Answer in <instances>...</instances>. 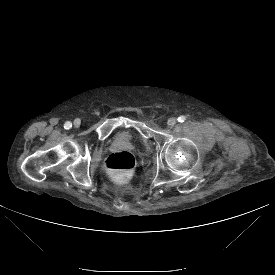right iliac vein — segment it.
I'll use <instances>...</instances> for the list:
<instances>
[{
	"mask_svg": "<svg viewBox=\"0 0 275 275\" xmlns=\"http://www.w3.org/2000/svg\"><path fill=\"white\" fill-rule=\"evenodd\" d=\"M80 123H81V122H80L79 119H75V120H74V127H75V128H78V127L80 126Z\"/></svg>",
	"mask_w": 275,
	"mask_h": 275,
	"instance_id": "1",
	"label": "right iliac vein"
}]
</instances>
